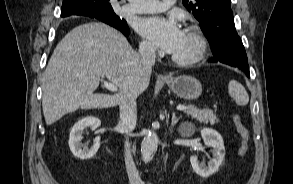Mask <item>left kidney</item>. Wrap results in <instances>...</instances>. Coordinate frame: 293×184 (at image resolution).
<instances>
[{
    "label": "left kidney",
    "mask_w": 293,
    "mask_h": 184,
    "mask_svg": "<svg viewBox=\"0 0 293 184\" xmlns=\"http://www.w3.org/2000/svg\"><path fill=\"white\" fill-rule=\"evenodd\" d=\"M201 136L205 145L212 148L213 158L208 162V166L203 163L199 164L196 156H191L190 163L195 173L206 178L219 169L225 156V147L222 136L213 129H202Z\"/></svg>",
    "instance_id": "obj_1"
}]
</instances>
